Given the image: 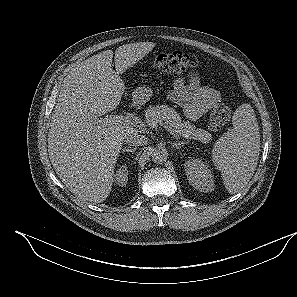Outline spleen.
<instances>
[{"instance_id":"1","label":"spleen","mask_w":297,"mask_h":297,"mask_svg":"<svg viewBox=\"0 0 297 297\" xmlns=\"http://www.w3.org/2000/svg\"><path fill=\"white\" fill-rule=\"evenodd\" d=\"M233 128L215 143L212 160L221 171L227 191H241L252 178L259 159L260 134L250 104L239 106L232 117Z\"/></svg>"}]
</instances>
